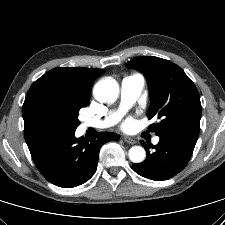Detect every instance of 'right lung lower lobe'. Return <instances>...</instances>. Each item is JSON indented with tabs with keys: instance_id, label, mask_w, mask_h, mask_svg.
<instances>
[{
	"instance_id": "right-lung-lower-lobe-1",
	"label": "right lung lower lobe",
	"mask_w": 225,
	"mask_h": 225,
	"mask_svg": "<svg viewBox=\"0 0 225 225\" xmlns=\"http://www.w3.org/2000/svg\"><path fill=\"white\" fill-rule=\"evenodd\" d=\"M24 135L38 170L59 187H75L88 181L97 169L100 147L108 141L119 140L111 132L77 139L75 130L51 127H34Z\"/></svg>"
}]
</instances>
